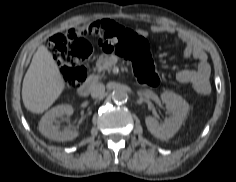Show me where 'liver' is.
Returning <instances> with one entry per match:
<instances>
[{
	"instance_id": "liver-1",
	"label": "liver",
	"mask_w": 236,
	"mask_h": 182,
	"mask_svg": "<svg viewBox=\"0 0 236 182\" xmlns=\"http://www.w3.org/2000/svg\"><path fill=\"white\" fill-rule=\"evenodd\" d=\"M64 90V79L44 45L33 55L22 84V100L25 108L36 114L46 111Z\"/></svg>"
}]
</instances>
